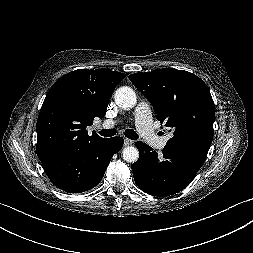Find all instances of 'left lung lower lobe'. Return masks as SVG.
Wrapping results in <instances>:
<instances>
[{
    "mask_svg": "<svg viewBox=\"0 0 253 253\" xmlns=\"http://www.w3.org/2000/svg\"><path fill=\"white\" fill-rule=\"evenodd\" d=\"M140 156L132 165L138 187L154 196H168L183 190L195 177L207 156L201 148L162 150L163 158L149 145L137 141Z\"/></svg>",
    "mask_w": 253,
    "mask_h": 253,
    "instance_id": "0a47b994",
    "label": "left lung lower lobe"
}]
</instances>
